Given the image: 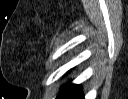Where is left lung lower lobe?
Returning a JSON list of instances; mask_svg holds the SVG:
<instances>
[{"label": "left lung lower lobe", "mask_w": 128, "mask_h": 99, "mask_svg": "<svg viewBox=\"0 0 128 99\" xmlns=\"http://www.w3.org/2000/svg\"><path fill=\"white\" fill-rule=\"evenodd\" d=\"M56 99H84L79 85H68L58 94Z\"/></svg>", "instance_id": "1"}]
</instances>
